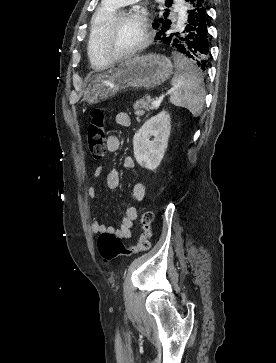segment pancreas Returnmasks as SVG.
Segmentation results:
<instances>
[{
	"instance_id": "obj_1",
	"label": "pancreas",
	"mask_w": 276,
	"mask_h": 363,
	"mask_svg": "<svg viewBox=\"0 0 276 363\" xmlns=\"http://www.w3.org/2000/svg\"><path fill=\"white\" fill-rule=\"evenodd\" d=\"M152 99L150 97L142 98L133 105L135 114L137 115L136 120H140V116L145 115L146 112H149L150 110L157 109L156 107L152 106Z\"/></svg>"
}]
</instances>
